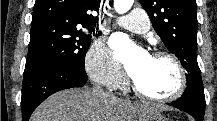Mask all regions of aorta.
Returning <instances> with one entry per match:
<instances>
[{
    "label": "aorta",
    "instance_id": "762f6f07",
    "mask_svg": "<svg viewBox=\"0 0 217 121\" xmlns=\"http://www.w3.org/2000/svg\"><path fill=\"white\" fill-rule=\"evenodd\" d=\"M134 0H114V8L117 13H126L133 5Z\"/></svg>",
    "mask_w": 217,
    "mask_h": 121
}]
</instances>
